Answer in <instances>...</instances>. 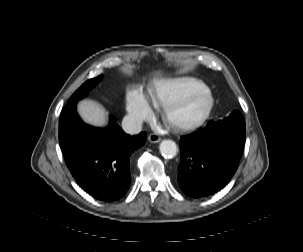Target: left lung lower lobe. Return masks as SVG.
Returning <instances> with one entry per match:
<instances>
[{
	"label": "left lung lower lobe",
	"mask_w": 303,
	"mask_h": 252,
	"mask_svg": "<svg viewBox=\"0 0 303 252\" xmlns=\"http://www.w3.org/2000/svg\"><path fill=\"white\" fill-rule=\"evenodd\" d=\"M245 134V125H218L181 137L178 183L182 191L197 198L222 189L237 170Z\"/></svg>",
	"instance_id": "obj_1"
}]
</instances>
